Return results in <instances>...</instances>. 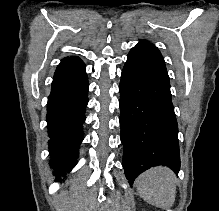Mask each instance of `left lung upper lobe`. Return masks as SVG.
<instances>
[{
	"mask_svg": "<svg viewBox=\"0 0 219 211\" xmlns=\"http://www.w3.org/2000/svg\"><path fill=\"white\" fill-rule=\"evenodd\" d=\"M134 50L139 51L140 53L147 55L151 58H154L162 63H165L160 51L157 49V47L148 41L142 40L140 43H138L134 48Z\"/></svg>",
	"mask_w": 219,
	"mask_h": 211,
	"instance_id": "left-lung-upper-lobe-1",
	"label": "left lung upper lobe"
}]
</instances>
